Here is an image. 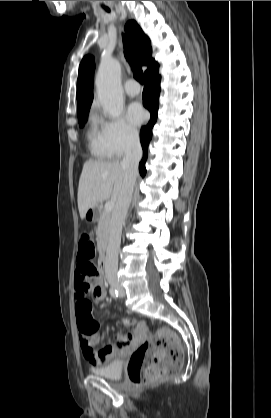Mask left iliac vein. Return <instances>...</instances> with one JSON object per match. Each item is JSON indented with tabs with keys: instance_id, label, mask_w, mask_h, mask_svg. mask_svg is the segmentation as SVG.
<instances>
[{
	"instance_id": "left-iliac-vein-1",
	"label": "left iliac vein",
	"mask_w": 271,
	"mask_h": 418,
	"mask_svg": "<svg viewBox=\"0 0 271 418\" xmlns=\"http://www.w3.org/2000/svg\"><path fill=\"white\" fill-rule=\"evenodd\" d=\"M118 290H119V293H120V297H124L125 296V291L119 286H118Z\"/></svg>"
}]
</instances>
